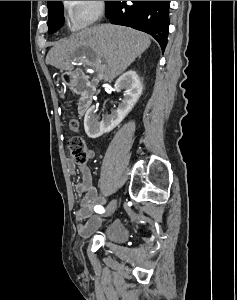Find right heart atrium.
I'll return each instance as SVG.
<instances>
[{"label":"right heart atrium","mask_w":237,"mask_h":300,"mask_svg":"<svg viewBox=\"0 0 237 300\" xmlns=\"http://www.w3.org/2000/svg\"><path fill=\"white\" fill-rule=\"evenodd\" d=\"M64 14L73 31L87 28L99 21L105 10L104 1H63Z\"/></svg>","instance_id":"right-heart-atrium-1"}]
</instances>
